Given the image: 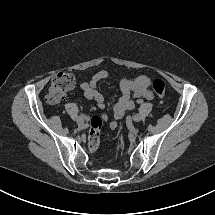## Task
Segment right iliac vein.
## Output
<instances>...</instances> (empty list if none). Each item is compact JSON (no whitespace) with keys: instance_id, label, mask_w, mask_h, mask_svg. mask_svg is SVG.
Listing matches in <instances>:
<instances>
[{"instance_id":"obj_1","label":"right iliac vein","mask_w":215,"mask_h":215,"mask_svg":"<svg viewBox=\"0 0 215 215\" xmlns=\"http://www.w3.org/2000/svg\"><path fill=\"white\" fill-rule=\"evenodd\" d=\"M76 122L78 125H83L85 123V120L81 116H78Z\"/></svg>"}]
</instances>
